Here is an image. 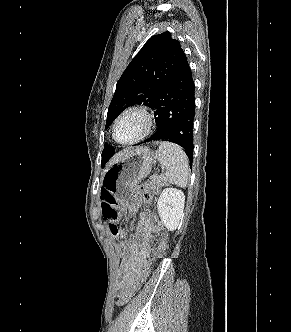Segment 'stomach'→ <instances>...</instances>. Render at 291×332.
<instances>
[{
	"mask_svg": "<svg viewBox=\"0 0 291 332\" xmlns=\"http://www.w3.org/2000/svg\"><path fill=\"white\" fill-rule=\"evenodd\" d=\"M153 163L154 154L148 148L132 149L106 170L103 188L128 209H135L139 202L137 185L150 174Z\"/></svg>",
	"mask_w": 291,
	"mask_h": 332,
	"instance_id": "1",
	"label": "stomach"
}]
</instances>
